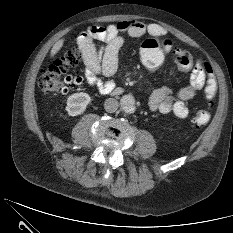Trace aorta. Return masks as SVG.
<instances>
[{"label": "aorta", "mask_w": 233, "mask_h": 233, "mask_svg": "<svg viewBox=\"0 0 233 233\" xmlns=\"http://www.w3.org/2000/svg\"><path fill=\"white\" fill-rule=\"evenodd\" d=\"M120 104L124 112L130 114L135 112V99L132 95H124L121 98Z\"/></svg>", "instance_id": "aorta-1"}]
</instances>
